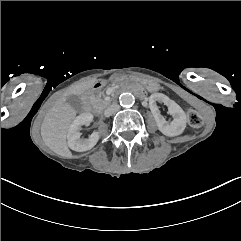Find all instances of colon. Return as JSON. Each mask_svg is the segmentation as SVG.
Listing matches in <instances>:
<instances>
[{
  "mask_svg": "<svg viewBox=\"0 0 241 241\" xmlns=\"http://www.w3.org/2000/svg\"><path fill=\"white\" fill-rule=\"evenodd\" d=\"M187 118L192 127H199L203 124V119L194 109L187 110Z\"/></svg>",
  "mask_w": 241,
  "mask_h": 241,
  "instance_id": "1",
  "label": "colon"
}]
</instances>
